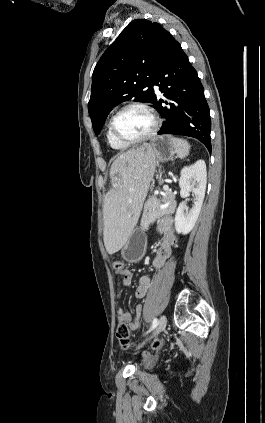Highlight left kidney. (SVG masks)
Returning a JSON list of instances; mask_svg holds the SVG:
<instances>
[{
	"label": "left kidney",
	"mask_w": 265,
	"mask_h": 423,
	"mask_svg": "<svg viewBox=\"0 0 265 423\" xmlns=\"http://www.w3.org/2000/svg\"><path fill=\"white\" fill-rule=\"evenodd\" d=\"M207 184L206 164L203 160H198L190 166H186L180 173V196L187 198L189 192L194 193V203L191 210L185 212L186 203L179 204L175 215V228L178 233L188 234L194 227L201 211L205 197Z\"/></svg>",
	"instance_id": "5707ae66"
}]
</instances>
